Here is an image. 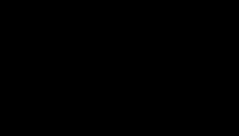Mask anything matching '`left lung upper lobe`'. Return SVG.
Listing matches in <instances>:
<instances>
[{
	"label": "left lung upper lobe",
	"instance_id": "5c2ea615",
	"mask_svg": "<svg viewBox=\"0 0 239 136\" xmlns=\"http://www.w3.org/2000/svg\"><path fill=\"white\" fill-rule=\"evenodd\" d=\"M195 52L202 54V49L199 40V34L196 28L188 22L185 28V35L183 38L182 46L179 51Z\"/></svg>",
	"mask_w": 239,
	"mask_h": 136
}]
</instances>
